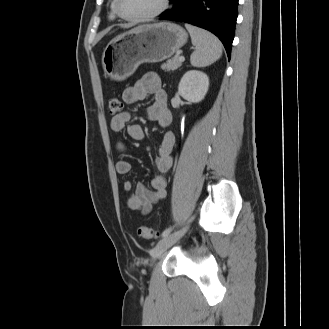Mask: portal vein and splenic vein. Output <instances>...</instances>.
Instances as JSON below:
<instances>
[{
  "label": "portal vein and splenic vein",
  "instance_id": "portal-vein-and-splenic-vein-1",
  "mask_svg": "<svg viewBox=\"0 0 329 329\" xmlns=\"http://www.w3.org/2000/svg\"><path fill=\"white\" fill-rule=\"evenodd\" d=\"M184 60H185L184 56L179 57V61L184 62Z\"/></svg>",
  "mask_w": 329,
  "mask_h": 329
}]
</instances>
